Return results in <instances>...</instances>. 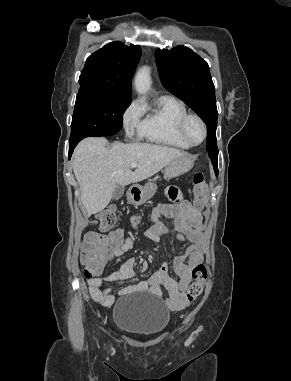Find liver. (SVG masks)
Listing matches in <instances>:
<instances>
[{
  "label": "liver",
  "mask_w": 291,
  "mask_h": 381,
  "mask_svg": "<svg viewBox=\"0 0 291 381\" xmlns=\"http://www.w3.org/2000/svg\"><path fill=\"white\" fill-rule=\"evenodd\" d=\"M105 138L89 137L75 148L73 171L79 183L87 217L102 211L113 197L116 185L143 181L186 153L150 143H116L106 149ZM138 166L133 172L131 164Z\"/></svg>",
  "instance_id": "obj_1"
}]
</instances>
